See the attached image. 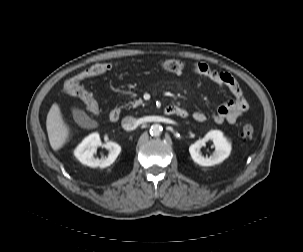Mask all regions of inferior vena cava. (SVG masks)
<instances>
[{"instance_id": "1", "label": "inferior vena cava", "mask_w": 303, "mask_h": 252, "mask_svg": "<svg viewBox=\"0 0 303 252\" xmlns=\"http://www.w3.org/2000/svg\"><path fill=\"white\" fill-rule=\"evenodd\" d=\"M138 126L137 119L131 116H127L122 119V127L126 131L134 130Z\"/></svg>"}]
</instances>
